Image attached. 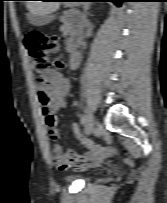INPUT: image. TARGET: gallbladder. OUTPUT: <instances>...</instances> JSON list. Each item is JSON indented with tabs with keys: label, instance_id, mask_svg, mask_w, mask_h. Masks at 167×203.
Masks as SVG:
<instances>
[{
	"label": "gallbladder",
	"instance_id": "bac80fb5",
	"mask_svg": "<svg viewBox=\"0 0 167 203\" xmlns=\"http://www.w3.org/2000/svg\"><path fill=\"white\" fill-rule=\"evenodd\" d=\"M52 19H53L52 15L40 16V15L31 14L28 16L29 22L34 26H43L49 23L50 21H52Z\"/></svg>",
	"mask_w": 167,
	"mask_h": 203
}]
</instances>
